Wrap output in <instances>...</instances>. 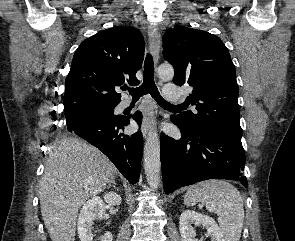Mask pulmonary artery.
Listing matches in <instances>:
<instances>
[{"label":"pulmonary artery","mask_w":295,"mask_h":241,"mask_svg":"<svg viewBox=\"0 0 295 241\" xmlns=\"http://www.w3.org/2000/svg\"><path fill=\"white\" fill-rule=\"evenodd\" d=\"M164 97L173 102H179L181 100V91L174 84H167L164 87ZM128 101H124L122 106L127 107Z\"/></svg>","instance_id":"pulmonary-artery-1"}]
</instances>
